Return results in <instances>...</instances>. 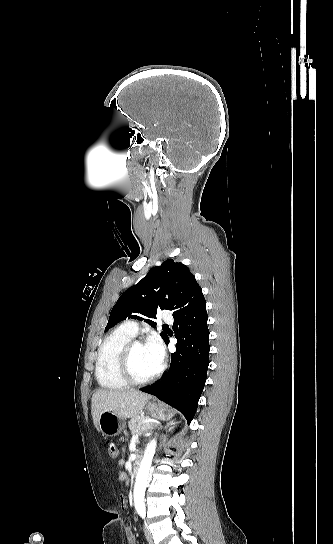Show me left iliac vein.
I'll list each match as a JSON object with an SVG mask.
<instances>
[{"label": "left iliac vein", "instance_id": "obj_1", "mask_svg": "<svg viewBox=\"0 0 333 544\" xmlns=\"http://www.w3.org/2000/svg\"><path fill=\"white\" fill-rule=\"evenodd\" d=\"M144 533H145V536H146V539H147L148 543H149V544H154V541H153V537H152L151 531L149 530V528L147 527V525L144 526Z\"/></svg>", "mask_w": 333, "mask_h": 544}]
</instances>
